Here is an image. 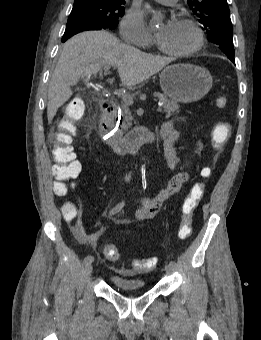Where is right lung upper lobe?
Returning <instances> with one entry per match:
<instances>
[{
    "instance_id": "right-lung-upper-lobe-1",
    "label": "right lung upper lobe",
    "mask_w": 261,
    "mask_h": 340,
    "mask_svg": "<svg viewBox=\"0 0 261 340\" xmlns=\"http://www.w3.org/2000/svg\"><path fill=\"white\" fill-rule=\"evenodd\" d=\"M82 1H122V2H125V0H75V2H82Z\"/></svg>"
}]
</instances>
